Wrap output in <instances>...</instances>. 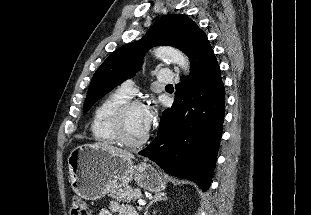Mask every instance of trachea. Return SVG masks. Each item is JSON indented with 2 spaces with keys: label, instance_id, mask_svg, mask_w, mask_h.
<instances>
[{
  "label": "trachea",
  "instance_id": "1",
  "mask_svg": "<svg viewBox=\"0 0 311 215\" xmlns=\"http://www.w3.org/2000/svg\"><path fill=\"white\" fill-rule=\"evenodd\" d=\"M167 87H172V85H171V84H169V85H167Z\"/></svg>",
  "mask_w": 311,
  "mask_h": 215
}]
</instances>
